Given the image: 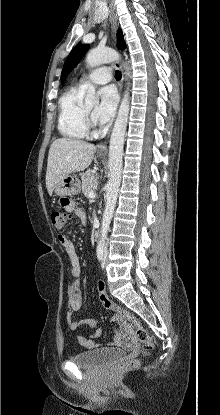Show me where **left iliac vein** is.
I'll return each instance as SVG.
<instances>
[{
    "label": "left iliac vein",
    "instance_id": "1",
    "mask_svg": "<svg viewBox=\"0 0 220 415\" xmlns=\"http://www.w3.org/2000/svg\"><path fill=\"white\" fill-rule=\"evenodd\" d=\"M107 255H108V252L105 250L104 251V257H103V262H102V268H104L105 267V263H106V259H107Z\"/></svg>",
    "mask_w": 220,
    "mask_h": 415
}]
</instances>
